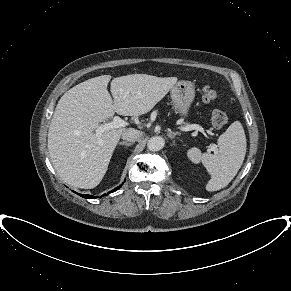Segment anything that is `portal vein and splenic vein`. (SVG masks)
<instances>
[{
  "instance_id": "obj_1",
  "label": "portal vein and splenic vein",
  "mask_w": 291,
  "mask_h": 291,
  "mask_svg": "<svg viewBox=\"0 0 291 291\" xmlns=\"http://www.w3.org/2000/svg\"><path fill=\"white\" fill-rule=\"evenodd\" d=\"M126 125H127V122L122 120L119 116H115L113 118V121L99 126L96 129V134L98 136H100L104 131L125 127ZM181 130L182 131L198 130L200 132H204L203 128L197 124H192V125H188L186 127H182ZM212 149H214V147H212Z\"/></svg>"
}]
</instances>
